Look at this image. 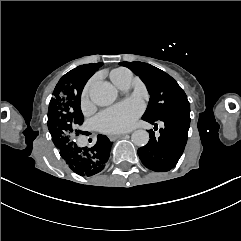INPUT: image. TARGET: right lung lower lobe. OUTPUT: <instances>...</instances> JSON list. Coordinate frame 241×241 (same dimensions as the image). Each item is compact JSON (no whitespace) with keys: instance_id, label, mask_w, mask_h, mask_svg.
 I'll use <instances>...</instances> for the list:
<instances>
[{"instance_id":"1","label":"right lung lower lobe","mask_w":241,"mask_h":241,"mask_svg":"<svg viewBox=\"0 0 241 241\" xmlns=\"http://www.w3.org/2000/svg\"><path fill=\"white\" fill-rule=\"evenodd\" d=\"M113 142L107 136L98 135L93 147H78L76 144L59 148L60 155L71 170L80 176H92L101 172L110 156Z\"/></svg>"}]
</instances>
